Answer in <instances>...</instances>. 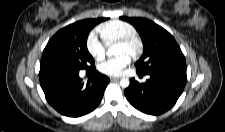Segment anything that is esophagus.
<instances>
[{
	"label": "esophagus",
	"instance_id": "34e87169",
	"mask_svg": "<svg viewBox=\"0 0 225 132\" xmlns=\"http://www.w3.org/2000/svg\"><path fill=\"white\" fill-rule=\"evenodd\" d=\"M119 79H120L119 77H110V81H117Z\"/></svg>",
	"mask_w": 225,
	"mask_h": 132
}]
</instances>
